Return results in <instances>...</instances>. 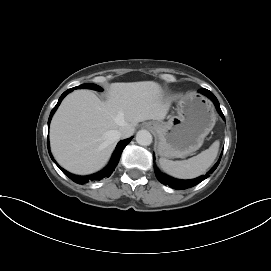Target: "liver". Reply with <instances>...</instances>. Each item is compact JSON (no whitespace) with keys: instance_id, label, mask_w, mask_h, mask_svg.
I'll return each mask as SVG.
<instances>
[{"instance_id":"1","label":"liver","mask_w":271,"mask_h":271,"mask_svg":"<svg viewBox=\"0 0 271 271\" xmlns=\"http://www.w3.org/2000/svg\"><path fill=\"white\" fill-rule=\"evenodd\" d=\"M171 102L153 81L112 83L107 101L90 90L70 93L54 114L50 144L57 162L78 175L99 171L120 137V127L165 119Z\"/></svg>"}]
</instances>
